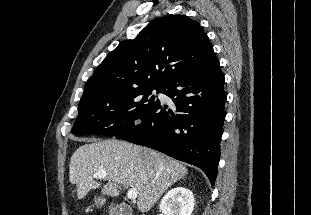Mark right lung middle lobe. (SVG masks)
Masks as SVG:
<instances>
[{
  "mask_svg": "<svg viewBox=\"0 0 311 215\" xmlns=\"http://www.w3.org/2000/svg\"><path fill=\"white\" fill-rule=\"evenodd\" d=\"M163 88L141 87L124 91L107 92L80 100L79 114L73 134L124 133L150 115L160 104L152 95Z\"/></svg>",
  "mask_w": 311,
  "mask_h": 215,
  "instance_id": "1",
  "label": "right lung middle lobe"
}]
</instances>
